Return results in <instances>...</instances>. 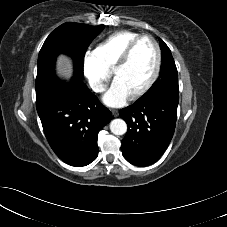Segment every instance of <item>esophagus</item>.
I'll return each instance as SVG.
<instances>
[{
  "label": "esophagus",
  "instance_id": "obj_1",
  "mask_svg": "<svg viewBox=\"0 0 227 227\" xmlns=\"http://www.w3.org/2000/svg\"><path fill=\"white\" fill-rule=\"evenodd\" d=\"M118 114H119L118 110H112V115H113L114 117H117Z\"/></svg>",
  "mask_w": 227,
  "mask_h": 227
}]
</instances>
